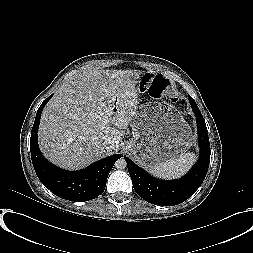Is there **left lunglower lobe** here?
<instances>
[{"mask_svg": "<svg viewBox=\"0 0 253 253\" xmlns=\"http://www.w3.org/2000/svg\"><path fill=\"white\" fill-rule=\"evenodd\" d=\"M188 98L196 116L200 156L197 163L184 177L173 181L156 179L125 157L134 190L149 203L160 206L180 204L194 194L207 174L211 153L207 127L195 101L190 96Z\"/></svg>", "mask_w": 253, "mask_h": 253, "instance_id": "1", "label": "left lung lower lobe"}]
</instances>
